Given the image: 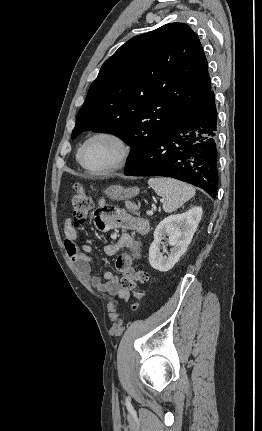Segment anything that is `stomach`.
I'll return each instance as SVG.
<instances>
[{"instance_id": "1", "label": "stomach", "mask_w": 262, "mask_h": 431, "mask_svg": "<svg viewBox=\"0 0 262 431\" xmlns=\"http://www.w3.org/2000/svg\"><path fill=\"white\" fill-rule=\"evenodd\" d=\"M104 192L107 197L112 200H126L136 196L139 193V188H124L120 185H112L109 186Z\"/></svg>"}]
</instances>
